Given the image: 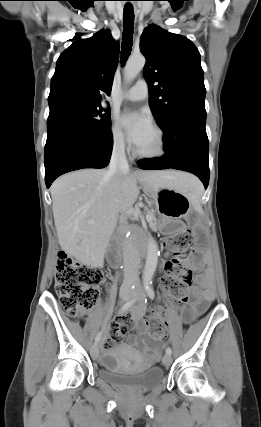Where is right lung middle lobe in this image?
<instances>
[{
	"instance_id": "right-lung-middle-lobe-1",
	"label": "right lung middle lobe",
	"mask_w": 261,
	"mask_h": 427,
	"mask_svg": "<svg viewBox=\"0 0 261 427\" xmlns=\"http://www.w3.org/2000/svg\"><path fill=\"white\" fill-rule=\"evenodd\" d=\"M73 132L85 136H103L111 132V117L100 105L67 104L51 108L47 134Z\"/></svg>"
}]
</instances>
